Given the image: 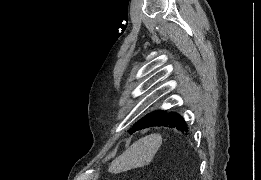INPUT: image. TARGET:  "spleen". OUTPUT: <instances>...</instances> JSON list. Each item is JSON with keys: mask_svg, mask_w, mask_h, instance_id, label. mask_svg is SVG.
<instances>
[{"mask_svg": "<svg viewBox=\"0 0 261 180\" xmlns=\"http://www.w3.org/2000/svg\"><path fill=\"white\" fill-rule=\"evenodd\" d=\"M161 144L160 134H150V136L140 138L132 146H129L126 152H123L121 156L111 162L109 172L111 174H121V172H128V170H134V168L148 166L155 154H157Z\"/></svg>", "mask_w": 261, "mask_h": 180, "instance_id": "3e777b00", "label": "spleen"}]
</instances>
